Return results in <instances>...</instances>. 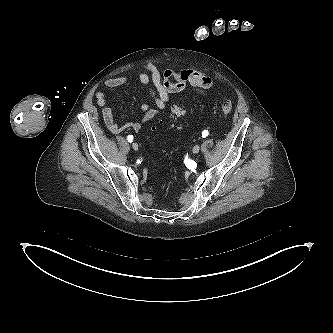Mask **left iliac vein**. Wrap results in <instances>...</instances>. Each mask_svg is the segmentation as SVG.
I'll use <instances>...</instances> for the list:
<instances>
[{"mask_svg":"<svg viewBox=\"0 0 333 333\" xmlns=\"http://www.w3.org/2000/svg\"><path fill=\"white\" fill-rule=\"evenodd\" d=\"M199 150H200V147H199L198 145H195V146L193 147V153H194V154H197V153L199 152Z\"/></svg>","mask_w":333,"mask_h":333,"instance_id":"obj_1","label":"left iliac vein"}]
</instances>
